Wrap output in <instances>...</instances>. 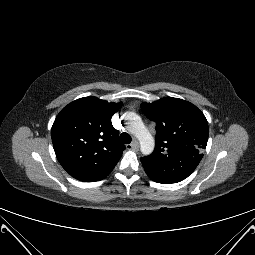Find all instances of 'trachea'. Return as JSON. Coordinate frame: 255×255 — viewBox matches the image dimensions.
<instances>
[{
  "mask_svg": "<svg viewBox=\"0 0 255 255\" xmlns=\"http://www.w3.org/2000/svg\"><path fill=\"white\" fill-rule=\"evenodd\" d=\"M131 140H132L131 136L128 133H125V132L121 133L120 141L122 143L129 144V143H131Z\"/></svg>",
  "mask_w": 255,
  "mask_h": 255,
  "instance_id": "1",
  "label": "trachea"
}]
</instances>
